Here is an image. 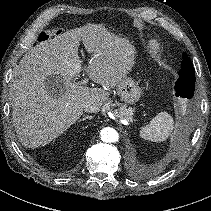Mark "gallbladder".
I'll use <instances>...</instances> for the list:
<instances>
[{
    "instance_id": "bac80fb5",
    "label": "gallbladder",
    "mask_w": 211,
    "mask_h": 211,
    "mask_svg": "<svg viewBox=\"0 0 211 211\" xmlns=\"http://www.w3.org/2000/svg\"><path fill=\"white\" fill-rule=\"evenodd\" d=\"M58 83L59 85H63V80L60 76L51 75L48 77V80L45 82L46 90L53 96H58L61 94L60 91L55 90V84ZM57 84V85H58Z\"/></svg>"
}]
</instances>
